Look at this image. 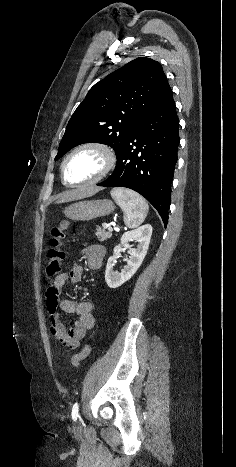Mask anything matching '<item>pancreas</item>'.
<instances>
[{"instance_id":"pancreas-1","label":"pancreas","mask_w":236,"mask_h":467,"mask_svg":"<svg viewBox=\"0 0 236 467\" xmlns=\"http://www.w3.org/2000/svg\"><path fill=\"white\" fill-rule=\"evenodd\" d=\"M96 237L100 241H105V240L112 237V233H111V231H105L104 228L102 229V228L99 227V228H97Z\"/></svg>"}]
</instances>
